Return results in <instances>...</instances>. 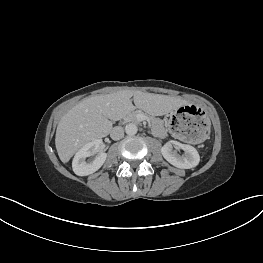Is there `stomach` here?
Masks as SVG:
<instances>
[{
	"label": "stomach",
	"mask_w": 263,
	"mask_h": 263,
	"mask_svg": "<svg viewBox=\"0 0 263 263\" xmlns=\"http://www.w3.org/2000/svg\"><path fill=\"white\" fill-rule=\"evenodd\" d=\"M170 126L176 137L192 146L206 142L212 131L211 121L206 112L195 105L176 110L171 117Z\"/></svg>",
	"instance_id": "1"
}]
</instances>
